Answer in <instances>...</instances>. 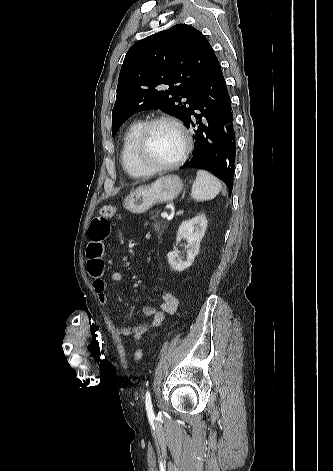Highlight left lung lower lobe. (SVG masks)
Listing matches in <instances>:
<instances>
[{
    "label": "left lung lower lobe",
    "mask_w": 333,
    "mask_h": 471,
    "mask_svg": "<svg viewBox=\"0 0 333 471\" xmlns=\"http://www.w3.org/2000/svg\"><path fill=\"white\" fill-rule=\"evenodd\" d=\"M194 110L201 113L194 112L186 125L194 132V152L190 161L181 169L201 168L211 171L224 181L231 192L236 158V129L231 99L217 58L198 89ZM195 123L199 126L196 127Z\"/></svg>",
    "instance_id": "obj_1"
}]
</instances>
